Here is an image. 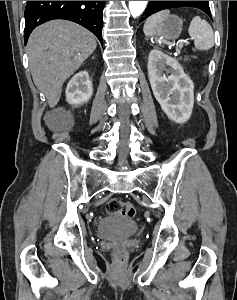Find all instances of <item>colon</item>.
Masks as SVG:
<instances>
[{
    "mask_svg": "<svg viewBox=\"0 0 237 300\" xmlns=\"http://www.w3.org/2000/svg\"><path fill=\"white\" fill-rule=\"evenodd\" d=\"M105 209L108 214H121L128 218H133L136 215V207L133 203L123 202L119 199L109 200ZM115 254L120 262H124L128 258L129 252L127 248L120 247L116 249Z\"/></svg>",
    "mask_w": 237,
    "mask_h": 300,
    "instance_id": "obj_1",
    "label": "colon"
}]
</instances>
